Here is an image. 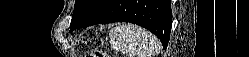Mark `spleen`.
<instances>
[{"instance_id":"3e777b00","label":"spleen","mask_w":249,"mask_h":57,"mask_svg":"<svg viewBox=\"0 0 249 57\" xmlns=\"http://www.w3.org/2000/svg\"><path fill=\"white\" fill-rule=\"evenodd\" d=\"M113 48L135 57H148L160 48L159 41L148 31L132 24H120L109 32Z\"/></svg>"}]
</instances>
